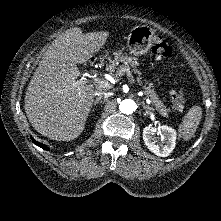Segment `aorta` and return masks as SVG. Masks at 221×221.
Listing matches in <instances>:
<instances>
[{
    "mask_svg": "<svg viewBox=\"0 0 221 221\" xmlns=\"http://www.w3.org/2000/svg\"><path fill=\"white\" fill-rule=\"evenodd\" d=\"M119 110L124 114H132L136 110V103L132 99H124L120 102Z\"/></svg>",
    "mask_w": 221,
    "mask_h": 221,
    "instance_id": "1",
    "label": "aorta"
}]
</instances>
